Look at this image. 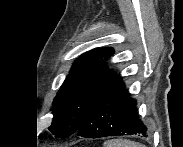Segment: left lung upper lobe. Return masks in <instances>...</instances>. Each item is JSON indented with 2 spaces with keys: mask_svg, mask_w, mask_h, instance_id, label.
<instances>
[{
  "mask_svg": "<svg viewBox=\"0 0 183 147\" xmlns=\"http://www.w3.org/2000/svg\"><path fill=\"white\" fill-rule=\"evenodd\" d=\"M112 48L95 49L79 57L73 64L53 101V122L49 127L57 137L66 138L77 132L99 99L121 80L107 69L104 60Z\"/></svg>",
  "mask_w": 183,
  "mask_h": 147,
  "instance_id": "left-lung-upper-lobe-1",
  "label": "left lung upper lobe"
}]
</instances>
